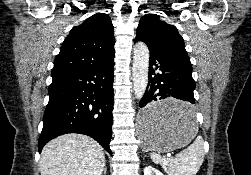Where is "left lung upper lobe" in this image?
Returning a JSON list of instances; mask_svg holds the SVG:
<instances>
[{"label": "left lung upper lobe", "instance_id": "5c2ea615", "mask_svg": "<svg viewBox=\"0 0 251 175\" xmlns=\"http://www.w3.org/2000/svg\"><path fill=\"white\" fill-rule=\"evenodd\" d=\"M135 39L146 43L149 50L191 64L184 40L177 28L161 20L157 14H145L141 17Z\"/></svg>", "mask_w": 251, "mask_h": 175}]
</instances>
